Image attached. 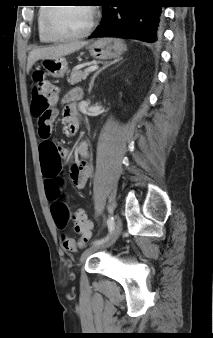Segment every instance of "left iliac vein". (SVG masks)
I'll return each mask as SVG.
<instances>
[{
	"instance_id": "obj_1",
	"label": "left iliac vein",
	"mask_w": 213,
	"mask_h": 338,
	"mask_svg": "<svg viewBox=\"0 0 213 338\" xmlns=\"http://www.w3.org/2000/svg\"><path fill=\"white\" fill-rule=\"evenodd\" d=\"M121 230H122V222H121V219L119 217H117L116 223H115V226H114V230L110 234L109 238L102 243L94 244V245L88 247L82 253V255L80 257V263H83L90 255L97 252L98 250L105 249V248H108L111 245H113L117 241V239L119 238Z\"/></svg>"
}]
</instances>
